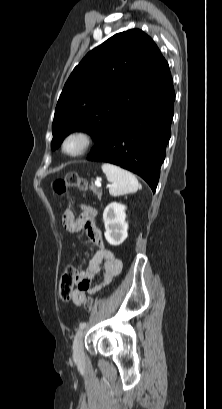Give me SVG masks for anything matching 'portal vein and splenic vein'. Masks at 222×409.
<instances>
[{
    "label": "portal vein and splenic vein",
    "mask_w": 222,
    "mask_h": 409,
    "mask_svg": "<svg viewBox=\"0 0 222 409\" xmlns=\"http://www.w3.org/2000/svg\"><path fill=\"white\" fill-rule=\"evenodd\" d=\"M95 185L98 186V187H101V181L99 179H97L95 181ZM110 186H111L110 184H107V187H110Z\"/></svg>",
    "instance_id": "obj_1"
}]
</instances>
